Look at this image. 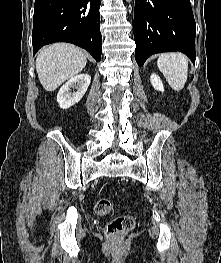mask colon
Here are the masks:
<instances>
[{
    "mask_svg": "<svg viewBox=\"0 0 221 263\" xmlns=\"http://www.w3.org/2000/svg\"><path fill=\"white\" fill-rule=\"evenodd\" d=\"M113 204L109 198H102L95 205V212L104 216L112 212ZM134 227V218L131 215H122L112 219L107 223L105 232L107 237L114 241L120 242L122 238L129 233Z\"/></svg>",
    "mask_w": 221,
    "mask_h": 263,
    "instance_id": "1",
    "label": "colon"
}]
</instances>
